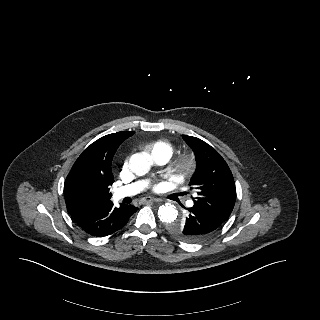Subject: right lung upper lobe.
Masks as SVG:
<instances>
[{
    "instance_id": "right-lung-upper-lobe-1",
    "label": "right lung upper lobe",
    "mask_w": 320,
    "mask_h": 320,
    "mask_svg": "<svg viewBox=\"0 0 320 320\" xmlns=\"http://www.w3.org/2000/svg\"><path fill=\"white\" fill-rule=\"evenodd\" d=\"M133 131L108 134L88 146L78 157L64 184L67 211L71 214L110 201L113 156Z\"/></svg>"
}]
</instances>
